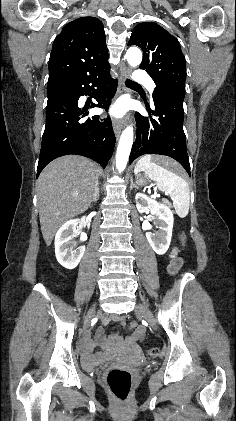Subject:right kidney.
<instances>
[{
  "label": "right kidney",
  "instance_id": "1",
  "mask_svg": "<svg viewBox=\"0 0 236 421\" xmlns=\"http://www.w3.org/2000/svg\"><path fill=\"white\" fill-rule=\"evenodd\" d=\"M80 221L81 219L67 221L60 227L55 237L56 259L65 269H75L85 253V247L74 249L76 245L75 237L79 235L77 225Z\"/></svg>",
  "mask_w": 236,
  "mask_h": 421
}]
</instances>
